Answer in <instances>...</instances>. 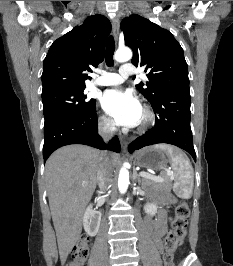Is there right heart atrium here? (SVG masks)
Instances as JSON below:
<instances>
[{"label": "right heart atrium", "mask_w": 233, "mask_h": 266, "mask_svg": "<svg viewBox=\"0 0 233 266\" xmlns=\"http://www.w3.org/2000/svg\"><path fill=\"white\" fill-rule=\"evenodd\" d=\"M99 127L105 133H112L115 131V123L106 115H101L99 118Z\"/></svg>", "instance_id": "d8ad5b80"}]
</instances>
